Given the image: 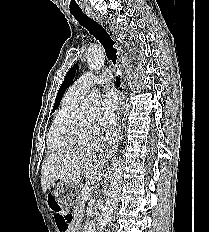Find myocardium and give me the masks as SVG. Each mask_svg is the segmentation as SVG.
I'll return each mask as SVG.
<instances>
[{
  "mask_svg": "<svg viewBox=\"0 0 209 232\" xmlns=\"http://www.w3.org/2000/svg\"><path fill=\"white\" fill-rule=\"evenodd\" d=\"M97 130L96 122L87 119L81 109L71 115L65 127L68 136L81 139L95 135Z\"/></svg>",
  "mask_w": 209,
  "mask_h": 232,
  "instance_id": "f54148a6",
  "label": "myocardium"
}]
</instances>
